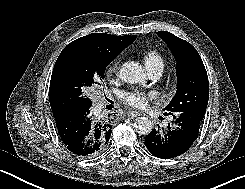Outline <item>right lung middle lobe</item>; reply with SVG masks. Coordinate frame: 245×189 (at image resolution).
<instances>
[{
  "label": "right lung middle lobe",
  "mask_w": 245,
  "mask_h": 189,
  "mask_svg": "<svg viewBox=\"0 0 245 189\" xmlns=\"http://www.w3.org/2000/svg\"><path fill=\"white\" fill-rule=\"evenodd\" d=\"M111 61L94 52L74 51L56 62L51 85L58 105L64 110L91 105L86 92L102 81Z\"/></svg>",
  "instance_id": "1"
}]
</instances>
